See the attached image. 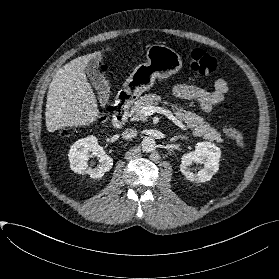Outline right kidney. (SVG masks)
I'll list each match as a JSON object with an SVG mask.
<instances>
[{
	"label": "right kidney",
	"instance_id": "ca27d5eb",
	"mask_svg": "<svg viewBox=\"0 0 279 279\" xmlns=\"http://www.w3.org/2000/svg\"><path fill=\"white\" fill-rule=\"evenodd\" d=\"M70 168L78 174H89L91 178H101L113 165V159L106 154L97 138L89 136L76 141L69 151ZM90 157H97L100 164L92 169L87 161Z\"/></svg>",
	"mask_w": 279,
	"mask_h": 279
}]
</instances>
